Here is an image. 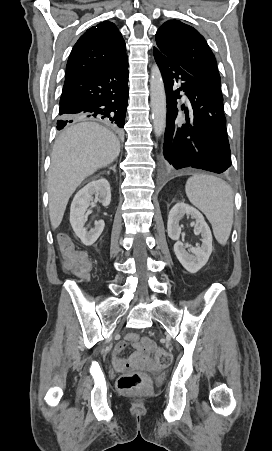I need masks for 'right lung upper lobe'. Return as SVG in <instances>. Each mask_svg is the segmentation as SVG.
<instances>
[{"label":"right lung upper lobe","mask_w":272,"mask_h":451,"mask_svg":"<svg viewBox=\"0 0 272 451\" xmlns=\"http://www.w3.org/2000/svg\"><path fill=\"white\" fill-rule=\"evenodd\" d=\"M126 56V46L117 27L104 21L91 27L74 45L65 78L97 70Z\"/></svg>","instance_id":"1"}]
</instances>
